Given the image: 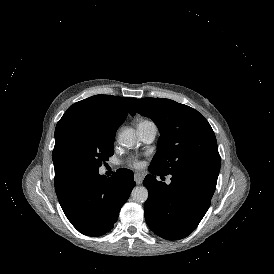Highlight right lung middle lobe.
Masks as SVG:
<instances>
[{"label": "right lung middle lobe", "mask_w": 274, "mask_h": 274, "mask_svg": "<svg viewBox=\"0 0 274 274\" xmlns=\"http://www.w3.org/2000/svg\"><path fill=\"white\" fill-rule=\"evenodd\" d=\"M120 119H89L72 126L62 135L55 157L64 172L71 176L98 171L114 154V140Z\"/></svg>", "instance_id": "dd1d6c3e"}]
</instances>
